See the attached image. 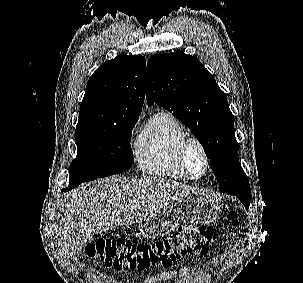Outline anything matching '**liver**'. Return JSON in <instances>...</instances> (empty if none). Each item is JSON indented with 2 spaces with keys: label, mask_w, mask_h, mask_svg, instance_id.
<instances>
[{
  "label": "liver",
  "mask_w": 303,
  "mask_h": 283,
  "mask_svg": "<svg viewBox=\"0 0 303 283\" xmlns=\"http://www.w3.org/2000/svg\"><path fill=\"white\" fill-rule=\"evenodd\" d=\"M199 192L176 181L110 176L65 195L56 234L68 256L81 251L95 234L140 222L170 201Z\"/></svg>",
  "instance_id": "liver-1"
}]
</instances>
